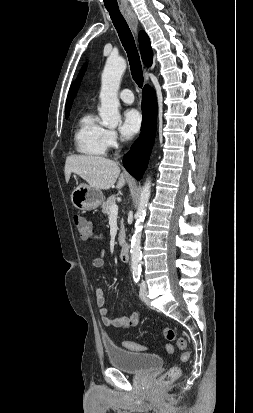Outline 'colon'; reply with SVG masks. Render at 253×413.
Instances as JSON below:
<instances>
[{
    "label": "colon",
    "instance_id": "colon-1",
    "mask_svg": "<svg viewBox=\"0 0 253 413\" xmlns=\"http://www.w3.org/2000/svg\"><path fill=\"white\" fill-rule=\"evenodd\" d=\"M73 222L76 226L78 235L80 236L81 239L87 240L91 237L92 231L91 227L88 223V221L80 214H74L73 216ZM163 335L165 339L169 342H174L177 348L181 351V361L186 362L188 361L190 357V353L187 350V342L185 338L178 336L176 332L169 327H165L163 329ZM123 345L130 350L134 351H143L145 350V347L130 341H125ZM167 351L172 352L173 351V346L171 344L167 345ZM181 373V370L179 367L174 366L170 368L166 373H164L158 380V384L160 386H165L173 381H175Z\"/></svg>",
    "mask_w": 253,
    "mask_h": 413
}]
</instances>
